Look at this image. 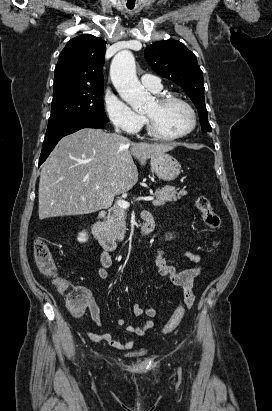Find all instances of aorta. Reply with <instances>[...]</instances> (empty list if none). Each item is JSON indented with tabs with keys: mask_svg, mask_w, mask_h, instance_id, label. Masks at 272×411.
Segmentation results:
<instances>
[{
	"mask_svg": "<svg viewBox=\"0 0 272 411\" xmlns=\"http://www.w3.org/2000/svg\"><path fill=\"white\" fill-rule=\"evenodd\" d=\"M110 77L121 98L133 109L141 108L149 99L136 76L135 59L128 50L117 53L110 66Z\"/></svg>",
	"mask_w": 272,
	"mask_h": 411,
	"instance_id": "aorta-1",
	"label": "aorta"
}]
</instances>
